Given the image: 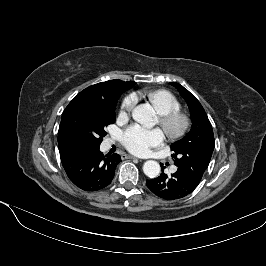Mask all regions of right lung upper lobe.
<instances>
[{"label": "right lung upper lobe", "instance_id": "right-lung-upper-lobe-1", "mask_svg": "<svg viewBox=\"0 0 266 266\" xmlns=\"http://www.w3.org/2000/svg\"><path fill=\"white\" fill-rule=\"evenodd\" d=\"M135 82L129 81L124 82L121 80H110L106 82H101L81 91L77 94L74 99L70 102H74L79 99H85L90 101H101V102H109L111 101L117 94L122 91H126L133 87ZM69 103V104H70ZM58 145L60 154L72 150L70 146H68L63 138L62 131L59 127L58 132Z\"/></svg>", "mask_w": 266, "mask_h": 266}]
</instances>
